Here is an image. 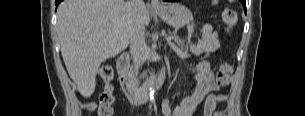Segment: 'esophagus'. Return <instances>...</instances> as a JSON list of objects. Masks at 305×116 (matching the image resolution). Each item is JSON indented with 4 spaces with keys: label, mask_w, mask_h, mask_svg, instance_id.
Instances as JSON below:
<instances>
[{
    "label": "esophagus",
    "mask_w": 305,
    "mask_h": 116,
    "mask_svg": "<svg viewBox=\"0 0 305 116\" xmlns=\"http://www.w3.org/2000/svg\"><path fill=\"white\" fill-rule=\"evenodd\" d=\"M150 6L152 9H160L162 4L158 0H151Z\"/></svg>",
    "instance_id": "34e87169"
}]
</instances>
